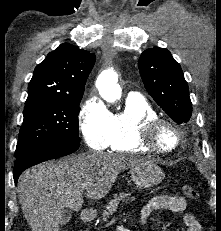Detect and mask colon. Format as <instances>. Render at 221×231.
Returning a JSON list of instances; mask_svg holds the SVG:
<instances>
[{
    "label": "colon",
    "mask_w": 221,
    "mask_h": 231,
    "mask_svg": "<svg viewBox=\"0 0 221 231\" xmlns=\"http://www.w3.org/2000/svg\"><path fill=\"white\" fill-rule=\"evenodd\" d=\"M182 192L189 198L191 199H196L197 198V192L196 190L190 186V185H183L182 186Z\"/></svg>",
    "instance_id": "colon-1"
}]
</instances>
